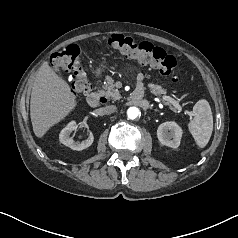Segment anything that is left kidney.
Returning <instances> with one entry per match:
<instances>
[{"instance_id":"obj_1","label":"left kidney","mask_w":238,"mask_h":238,"mask_svg":"<svg viewBox=\"0 0 238 238\" xmlns=\"http://www.w3.org/2000/svg\"><path fill=\"white\" fill-rule=\"evenodd\" d=\"M157 137L161 144L177 148L180 145L182 129L174 121L164 122L157 129Z\"/></svg>"}]
</instances>
